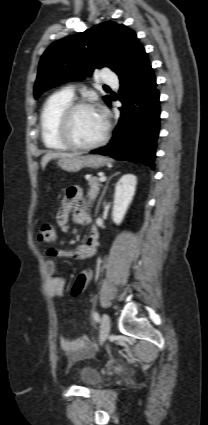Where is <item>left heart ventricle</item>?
Returning <instances> with one entry per match:
<instances>
[{
    "mask_svg": "<svg viewBox=\"0 0 208 425\" xmlns=\"http://www.w3.org/2000/svg\"><path fill=\"white\" fill-rule=\"evenodd\" d=\"M104 118L96 110H79L73 119L72 135L81 144H90L97 141L103 134Z\"/></svg>",
    "mask_w": 208,
    "mask_h": 425,
    "instance_id": "left-heart-ventricle-1",
    "label": "left heart ventricle"
}]
</instances>
